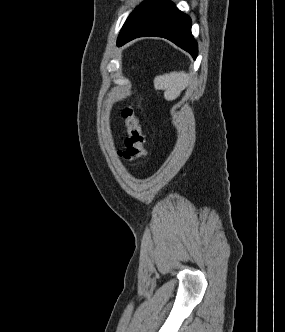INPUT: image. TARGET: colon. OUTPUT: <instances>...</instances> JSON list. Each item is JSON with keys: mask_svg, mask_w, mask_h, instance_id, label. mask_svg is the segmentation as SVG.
Returning <instances> with one entry per match:
<instances>
[{"mask_svg": "<svg viewBox=\"0 0 285 332\" xmlns=\"http://www.w3.org/2000/svg\"><path fill=\"white\" fill-rule=\"evenodd\" d=\"M121 115L126 129V138L125 146L118 151V155L125 162L134 165L145 155V139L134 108L125 107Z\"/></svg>", "mask_w": 285, "mask_h": 332, "instance_id": "colon-1", "label": "colon"}]
</instances>
